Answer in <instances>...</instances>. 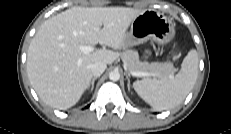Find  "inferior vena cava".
<instances>
[{"mask_svg":"<svg viewBox=\"0 0 231 134\" xmlns=\"http://www.w3.org/2000/svg\"><path fill=\"white\" fill-rule=\"evenodd\" d=\"M107 65L104 62H95L91 65L92 74L96 77H99L105 71Z\"/></svg>","mask_w":231,"mask_h":134,"instance_id":"inferior-vena-cava-1","label":"inferior vena cava"}]
</instances>
